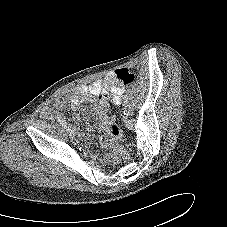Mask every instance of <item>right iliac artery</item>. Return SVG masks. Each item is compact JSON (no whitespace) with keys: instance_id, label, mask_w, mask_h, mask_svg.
I'll return each mask as SVG.
<instances>
[{"instance_id":"right-iliac-artery-1","label":"right iliac artery","mask_w":227,"mask_h":227,"mask_svg":"<svg viewBox=\"0 0 227 227\" xmlns=\"http://www.w3.org/2000/svg\"><path fill=\"white\" fill-rule=\"evenodd\" d=\"M57 121H58L64 128L67 127V123H66L60 116L57 117Z\"/></svg>"}]
</instances>
